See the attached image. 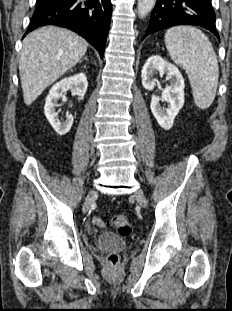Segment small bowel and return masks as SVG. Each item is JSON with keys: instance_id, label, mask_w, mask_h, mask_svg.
Here are the masks:
<instances>
[{"instance_id": "c3829d8e", "label": "small bowel", "mask_w": 232, "mask_h": 311, "mask_svg": "<svg viewBox=\"0 0 232 311\" xmlns=\"http://www.w3.org/2000/svg\"><path fill=\"white\" fill-rule=\"evenodd\" d=\"M92 222L94 225L99 226V227L105 226V222L98 217L93 218Z\"/></svg>"}]
</instances>
